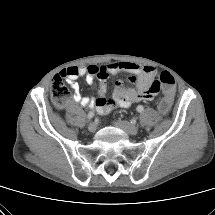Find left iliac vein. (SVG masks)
<instances>
[{
	"mask_svg": "<svg viewBox=\"0 0 215 215\" xmlns=\"http://www.w3.org/2000/svg\"><path fill=\"white\" fill-rule=\"evenodd\" d=\"M114 125L124 130L127 134L136 135L138 133V128L127 121L117 120L114 121Z\"/></svg>",
	"mask_w": 215,
	"mask_h": 215,
	"instance_id": "1",
	"label": "left iliac vein"
}]
</instances>
